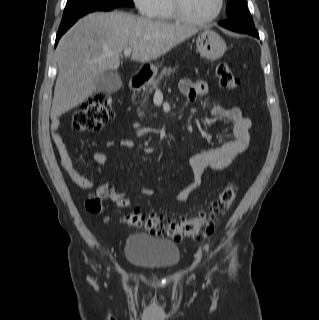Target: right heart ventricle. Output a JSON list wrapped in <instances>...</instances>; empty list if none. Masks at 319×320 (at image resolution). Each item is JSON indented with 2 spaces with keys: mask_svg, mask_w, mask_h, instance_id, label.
<instances>
[{
  "mask_svg": "<svg viewBox=\"0 0 319 320\" xmlns=\"http://www.w3.org/2000/svg\"><path fill=\"white\" fill-rule=\"evenodd\" d=\"M163 21H173L175 19L172 10L170 0H164L162 10L159 16Z\"/></svg>",
  "mask_w": 319,
  "mask_h": 320,
  "instance_id": "right-heart-ventricle-1",
  "label": "right heart ventricle"
}]
</instances>
